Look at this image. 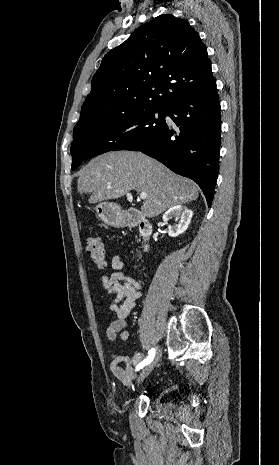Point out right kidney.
I'll return each instance as SVG.
<instances>
[{
  "mask_svg": "<svg viewBox=\"0 0 279 465\" xmlns=\"http://www.w3.org/2000/svg\"><path fill=\"white\" fill-rule=\"evenodd\" d=\"M174 216L175 221L177 222L173 226H168V235L170 237H177L180 234L184 233L186 229L188 228L193 212L192 210L183 207L181 205H176L171 208H169L164 214H163V221L165 223L168 222L169 218Z\"/></svg>",
  "mask_w": 279,
  "mask_h": 465,
  "instance_id": "ca27d5eb",
  "label": "right kidney"
}]
</instances>
